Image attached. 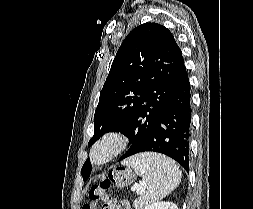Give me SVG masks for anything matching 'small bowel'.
Returning a JSON list of instances; mask_svg holds the SVG:
<instances>
[{"mask_svg":"<svg viewBox=\"0 0 253 209\" xmlns=\"http://www.w3.org/2000/svg\"><path fill=\"white\" fill-rule=\"evenodd\" d=\"M122 205H123V207H124L125 209H130V208H129V205H128V203H127L126 201H123V202H122ZM116 209H122V208H121V206H117Z\"/></svg>","mask_w":253,"mask_h":209,"instance_id":"c3829d8e","label":"small bowel"}]
</instances>
